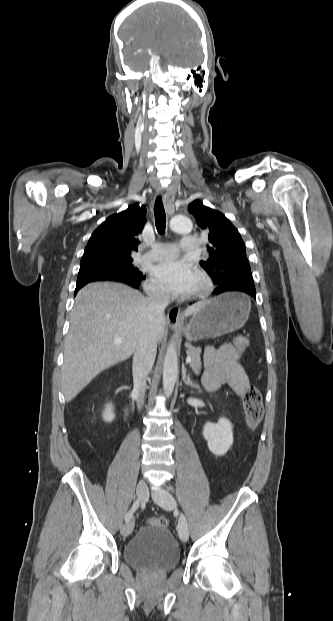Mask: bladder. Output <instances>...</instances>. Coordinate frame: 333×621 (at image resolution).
I'll use <instances>...</instances> for the list:
<instances>
[{
	"instance_id": "bladder-1",
	"label": "bladder",
	"mask_w": 333,
	"mask_h": 621,
	"mask_svg": "<svg viewBox=\"0 0 333 621\" xmlns=\"http://www.w3.org/2000/svg\"><path fill=\"white\" fill-rule=\"evenodd\" d=\"M123 558L130 566L157 573L173 569L180 558L179 546L166 527L142 526L125 544Z\"/></svg>"
}]
</instances>
